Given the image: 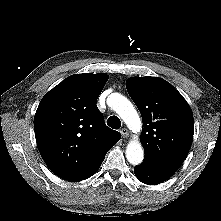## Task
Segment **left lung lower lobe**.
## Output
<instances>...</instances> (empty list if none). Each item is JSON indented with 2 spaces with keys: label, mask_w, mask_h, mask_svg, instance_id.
<instances>
[{
  "label": "left lung lower lobe",
  "mask_w": 221,
  "mask_h": 221,
  "mask_svg": "<svg viewBox=\"0 0 221 221\" xmlns=\"http://www.w3.org/2000/svg\"><path fill=\"white\" fill-rule=\"evenodd\" d=\"M134 173L141 182L149 185L159 184L174 174V172L153 166L147 162H142V164L136 166Z\"/></svg>",
  "instance_id": "left-lung-lower-lobe-1"
}]
</instances>
